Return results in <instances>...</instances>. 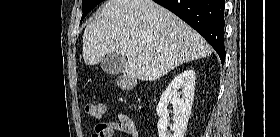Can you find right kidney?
Listing matches in <instances>:
<instances>
[{
    "label": "right kidney",
    "mask_w": 280,
    "mask_h": 137,
    "mask_svg": "<svg viewBox=\"0 0 280 137\" xmlns=\"http://www.w3.org/2000/svg\"><path fill=\"white\" fill-rule=\"evenodd\" d=\"M195 79L193 70H185L171 81L161 95L156 109L160 118L157 124L159 137H184L194 99ZM179 89L182 90V98H180ZM169 103L173 105V114L175 116L172 135H169L167 131L169 125L167 106Z\"/></svg>",
    "instance_id": "1"
}]
</instances>
